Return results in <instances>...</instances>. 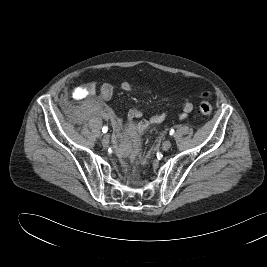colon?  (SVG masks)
I'll list each match as a JSON object with an SVG mask.
<instances>
[{"mask_svg": "<svg viewBox=\"0 0 267 267\" xmlns=\"http://www.w3.org/2000/svg\"><path fill=\"white\" fill-rule=\"evenodd\" d=\"M208 99L209 95L203 94L199 102V111L205 116H209L212 113V106Z\"/></svg>", "mask_w": 267, "mask_h": 267, "instance_id": "colon-1", "label": "colon"}]
</instances>
